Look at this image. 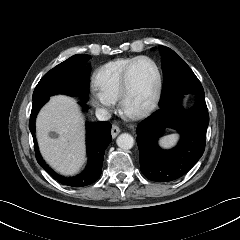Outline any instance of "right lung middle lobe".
I'll return each instance as SVG.
<instances>
[{"label": "right lung middle lobe", "instance_id": "dd1d6c3e", "mask_svg": "<svg viewBox=\"0 0 240 240\" xmlns=\"http://www.w3.org/2000/svg\"><path fill=\"white\" fill-rule=\"evenodd\" d=\"M88 59L90 56L87 54H76L47 72L35 87L33 100L66 94L80 96L87 101L89 68L85 64Z\"/></svg>", "mask_w": 240, "mask_h": 240}]
</instances>
